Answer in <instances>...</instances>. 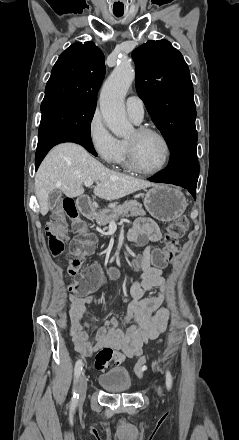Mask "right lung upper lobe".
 <instances>
[{
    "label": "right lung upper lobe",
    "mask_w": 239,
    "mask_h": 440,
    "mask_svg": "<svg viewBox=\"0 0 239 440\" xmlns=\"http://www.w3.org/2000/svg\"><path fill=\"white\" fill-rule=\"evenodd\" d=\"M104 76L103 52L90 41L72 44L55 63L42 103L66 100L96 108Z\"/></svg>",
    "instance_id": "obj_1"
}]
</instances>
